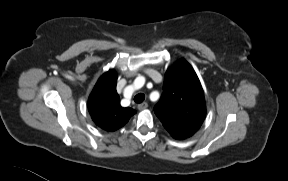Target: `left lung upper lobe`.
<instances>
[{
    "instance_id": "left-lung-upper-lobe-1",
    "label": "left lung upper lobe",
    "mask_w": 288,
    "mask_h": 181,
    "mask_svg": "<svg viewBox=\"0 0 288 181\" xmlns=\"http://www.w3.org/2000/svg\"><path fill=\"white\" fill-rule=\"evenodd\" d=\"M154 112L175 139L192 136L202 125L206 106L200 81L191 65L181 60L167 70L163 94Z\"/></svg>"
}]
</instances>
